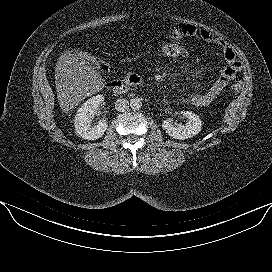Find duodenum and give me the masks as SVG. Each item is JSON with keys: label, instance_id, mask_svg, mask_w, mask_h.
Instances as JSON below:
<instances>
[{"label": "duodenum", "instance_id": "410a0bca", "mask_svg": "<svg viewBox=\"0 0 272 272\" xmlns=\"http://www.w3.org/2000/svg\"><path fill=\"white\" fill-rule=\"evenodd\" d=\"M140 85V77L136 74L127 75L123 80H112L107 83V88L113 93H126L129 88Z\"/></svg>", "mask_w": 272, "mask_h": 272}]
</instances>
